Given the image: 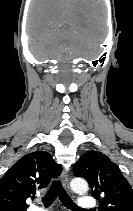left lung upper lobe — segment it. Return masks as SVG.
I'll list each match as a JSON object with an SVG mask.
<instances>
[{"label": "left lung upper lobe", "instance_id": "left-lung-upper-lobe-1", "mask_svg": "<svg viewBox=\"0 0 133 211\" xmlns=\"http://www.w3.org/2000/svg\"><path fill=\"white\" fill-rule=\"evenodd\" d=\"M74 175L85 178L99 211H133V190L120 169L106 155L88 151L74 165Z\"/></svg>", "mask_w": 133, "mask_h": 211}]
</instances>
